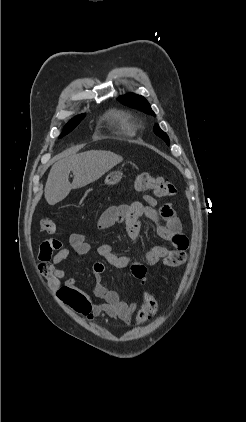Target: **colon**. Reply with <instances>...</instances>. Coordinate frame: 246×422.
<instances>
[{"mask_svg": "<svg viewBox=\"0 0 246 422\" xmlns=\"http://www.w3.org/2000/svg\"><path fill=\"white\" fill-rule=\"evenodd\" d=\"M137 190H152L159 197H170L176 192L174 185L162 176L153 175L149 172L138 174L135 180ZM40 229L43 233L52 234L56 230L55 222L50 218H43L40 223ZM186 251L172 250L163 260L167 266H179L186 261ZM142 275L144 272L141 273ZM145 275L141 278L143 279ZM158 310L157 300L148 290H144L141 295L136 322L144 323L151 316H154Z\"/></svg>", "mask_w": 246, "mask_h": 422, "instance_id": "colon-1", "label": "colon"}]
</instances>
